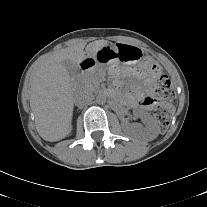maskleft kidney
Wrapping results in <instances>:
<instances>
[{
	"instance_id": "5707ae66",
	"label": "left kidney",
	"mask_w": 207,
	"mask_h": 207,
	"mask_svg": "<svg viewBox=\"0 0 207 207\" xmlns=\"http://www.w3.org/2000/svg\"><path fill=\"white\" fill-rule=\"evenodd\" d=\"M136 115L144 121L146 127L143 128L141 126H132L129 123H124L122 125L124 132H126L129 135H133L138 132L142 135V137L145 140H154L158 136V127L153 117L148 112L141 110L136 111Z\"/></svg>"
}]
</instances>
